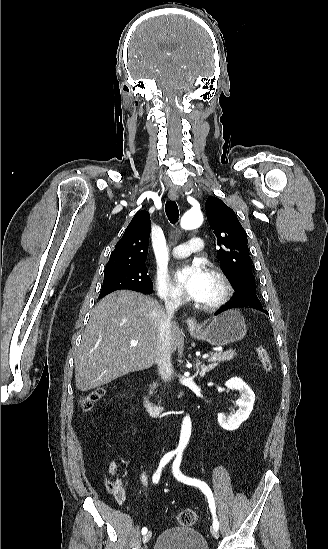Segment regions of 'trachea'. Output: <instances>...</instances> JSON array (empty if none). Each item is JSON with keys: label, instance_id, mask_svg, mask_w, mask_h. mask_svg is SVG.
Returning <instances> with one entry per match:
<instances>
[{"label": "trachea", "instance_id": "trachea-1", "mask_svg": "<svg viewBox=\"0 0 328 549\" xmlns=\"http://www.w3.org/2000/svg\"><path fill=\"white\" fill-rule=\"evenodd\" d=\"M165 212L168 217V220L171 224H176L179 220V210L176 202L174 200H168L165 204Z\"/></svg>", "mask_w": 328, "mask_h": 549}]
</instances>
